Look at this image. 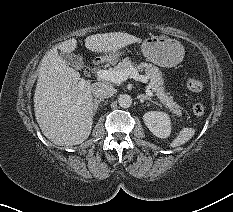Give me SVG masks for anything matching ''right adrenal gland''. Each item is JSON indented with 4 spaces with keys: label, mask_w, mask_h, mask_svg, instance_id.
Returning <instances> with one entry per match:
<instances>
[{
    "label": "right adrenal gland",
    "mask_w": 233,
    "mask_h": 212,
    "mask_svg": "<svg viewBox=\"0 0 233 212\" xmlns=\"http://www.w3.org/2000/svg\"><path fill=\"white\" fill-rule=\"evenodd\" d=\"M101 102H104V99H94L93 100V114L95 115L96 114V112H97V109H98V107H99V104L101 103Z\"/></svg>",
    "instance_id": "2a0ac1e0"
}]
</instances>
